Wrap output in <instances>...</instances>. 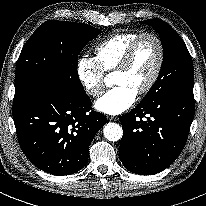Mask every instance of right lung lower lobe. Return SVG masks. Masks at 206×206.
Here are the masks:
<instances>
[{
  "label": "right lung lower lobe",
  "instance_id": "98d812e1",
  "mask_svg": "<svg viewBox=\"0 0 206 206\" xmlns=\"http://www.w3.org/2000/svg\"><path fill=\"white\" fill-rule=\"evenodd\" d=\"M91 109L86 93L72 96L52 88L13 105L23 153L47 173L60 176L78 172L88 162L90 143L107 122L103 114Z\"/></svg>",
  "mask_w": 206,
  "mask_h": 206
}]
</instances>
